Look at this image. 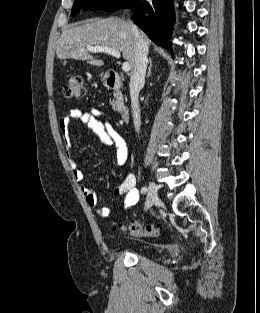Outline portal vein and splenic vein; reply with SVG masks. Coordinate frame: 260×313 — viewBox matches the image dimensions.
I'll return each instance as SVG.
<instances>
[{
  "label": "portal vein and splenic vein",
  "mask_w": 260,
  "mask_h": 313,
  "mask_svg": "<svg viewBox=\"0 0 260 313\" xmlns=\"http://www.w3.org/2000/svg\"><path fill=\"white\" fill-rule=\"evenodd\" d=\"M87 49L90 51V52H104V53H108V54H111L112 56L116 57V58H120L121 57V54L119 51L111 48V47H108V46H90V45H87ZM131 67H130V64L129 62H124L122 64V70L124 72H128L130 71Z\"/></svg>",
  "instance_id": "portal-vein-and-splenic-vein-1"
}]
</instances>
